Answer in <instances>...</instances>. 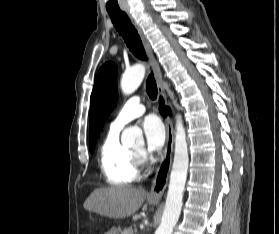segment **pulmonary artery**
I'll return each instance as SVG.
<instances>
[{
    "label": "pulmonary artery",
    "mask_w": 279,
    "mask_h": 234,
    "mask_svg": "<svg viewBox=\"0 0 279 234\" xmlns=\"http://www.w3.org/2000/svg\"><path fill=\"white\" fill-rule=\"evenodd\" d=\"M145 111L139 96H132L120 109L116 118L111 123V130L120 131L127 123L142 115Z\"/></svg>",
    "instance_id": "pulmonary-artery-1"
}]
</instances>
